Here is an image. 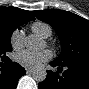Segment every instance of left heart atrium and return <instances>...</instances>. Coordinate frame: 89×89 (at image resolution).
<instances>
[{
	"label": "left heart atrium",
	"instance_id": "1",
	"mask_svg": "<svg viewBox=\"0 0 89 89\" xmlns=\"http://www.w3.org/2000/svg\"><path fill=\"white\" fill-rule=\"evenodd\" d=\"M52 54L49 50H44L41 52H31L23 50L15 55V60L20 65L26 68H36L43 62L48 61Z\"/></svg>",
	"mask_w": 89,
	"mask_h": 89
}]
</instances>
